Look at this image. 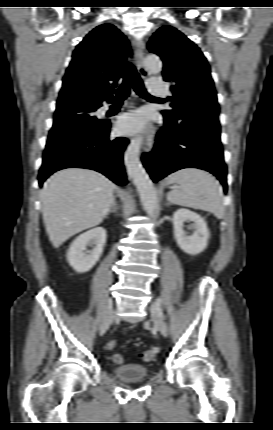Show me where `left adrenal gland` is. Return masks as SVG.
<instances>
[{
	"mask_svg": "<svg viewBox=\"0 0 273 430\" xmlns=\"http://www.w3.org/2000/svg\"><path fill=\"white\" fill-rule=\"evenodd\" d=\"M171 205V203L170 202H167L166 204H165V206H170Z\"/></svg>",
	"mask_w": 273,
	"mask_h": 430,
	"instance_id": "1",
	"label": "left adrenal gland"
}]
</instances>
